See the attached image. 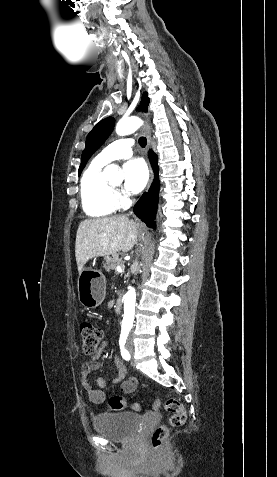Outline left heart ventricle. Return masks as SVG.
<instances>
[{"mask_svg": "<svg viewBox=\"0 0 277 477\" xmlns=\"http://www.w3.org/2000/svg\"><path fill=\"white\" fill-rule=\"evenodd\" d=\"M111 184H113L114 186H118V185H119V181H112Z\"/></svg>", "mask_w": 277, "mask_h": 477, "instance_id": "1", "label": "left heart ventricle"}]
</instances>
